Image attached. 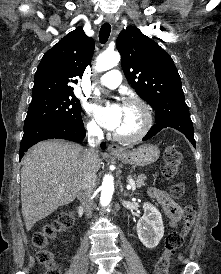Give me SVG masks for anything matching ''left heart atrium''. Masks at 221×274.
<instances>
[{"mask_svg":"<svg viewBox=\"0 0 221 274\" xmlns=\"http://www.w3.org/2000/svg\"><path fill=\"white\" fill-rule=\"evenodd\" d=\"M89 110L105 128L115 130L118 127L122 113V106L120 104L103 105L94 103L90 105Z\"/></svg>","mask_w":221,"mask_h":274,"instance_id":"39dd6f15","label":"left heart atrium"}]
</instances>
